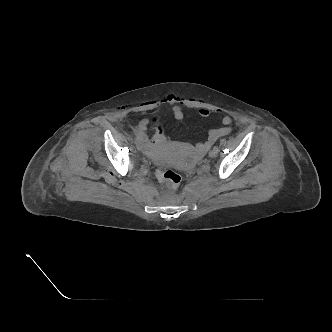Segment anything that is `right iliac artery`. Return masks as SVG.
Returning <instances> with one entry per match:
<instances>
[{
    "label": "right iliac artery",
    "instance_id": "obj_1",
    "mask_svg": "<svg viewBox=\"0 0 332 332\" xmlns=\"http://www.w3.org/2000/svg\"><path fill=\"white\" fill-rule=\"evenodd\" d=\"M134 134L137 136V137H142L143 134L138 130V129H135L134 130Z\"/></svg>",
    "mask_w": 332,
    "mask_h": 332
}]
</instances>
